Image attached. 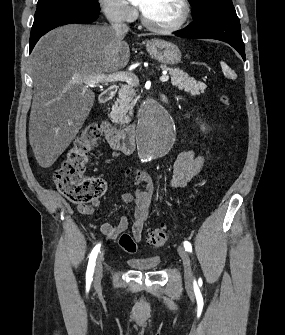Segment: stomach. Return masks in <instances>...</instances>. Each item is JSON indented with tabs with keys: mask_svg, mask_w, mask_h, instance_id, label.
<instances>
[{
	"mask_svg": "<svg viewBox=\"0 0 285 335\" xmlns=\"http://www.w3.org/2000/svg\"><path fill=\"white\" fill-rule=\"evenodd\" d=\"M146 50L151 58H155V60L161 62L163 66H167V64L173 66V64H179V62H181L182 54L178 46L171 44V42L154 38V40L147 42Z\"/></svg>",
	"mask_w": 285,
	"mask_h": 335,
	"instance_id": "1",
	"label": "stomach"
}]
</instances>
